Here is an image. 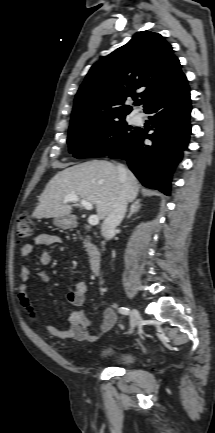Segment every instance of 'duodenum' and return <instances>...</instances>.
I'll list each match as a JSON object with an SVG mask.
<instances>
[{
    "mask_svg": "<svg viewBox=\"0 0 215 433\" xmlns=\"http://www.w3.org/2000/svg\"><path fill=\"white\" fill-rule=\"evenodd\" d=\"M90 270L95 276L101 273V256L98 253H93L90 258Z\"/></svg>",
    "mask_w": 215,
    "mask_h": 433,
    "instance_id": "obj_1",
    "label": "duodenum"
}]
</instances>
